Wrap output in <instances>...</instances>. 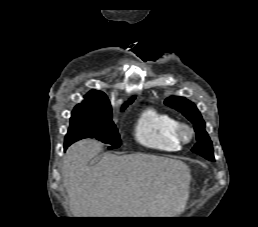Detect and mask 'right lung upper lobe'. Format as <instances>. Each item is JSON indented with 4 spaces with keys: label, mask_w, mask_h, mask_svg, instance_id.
Listing matches in <instances>:
<instances>
[{
    "label": "right lung upper lobe",
    "mask_w": 258,
    "mask_h": 227,
    "mask_svg": "<svg viewBox=\"0 0 258 227\" xmlns=\"http://www.w3.org/2000/svg\"><path fill=\"white\" fill-rule=\"evenodd\" d=\"M132 98L129 101H132ZM128 101V102H129ZM80 108L107 109L111 108L110 102L105 93L97 90H91L85 96V100L77 105Z\"/></svg>",
    "instance_id": "1"
}]
</instances>
